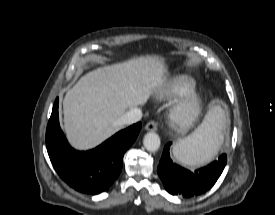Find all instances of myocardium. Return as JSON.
<instances>
[{
    "instance_id": "f54148a6",
    "label": "myocardium",
    "mask_w": 275,
    "mask_h": 215,
    "mask_svg": "<svg viewBox=\"0 0 275 215\" xmlns=\"http://www.w3.org/2000/svg\"><path fill=\"white\" fill-rule=\"evenodd\" d=\"M203 111L202 98L197 93L180 97L169 112L171 125L180 132L192 129L200 120Z\"/></svg>"
}]
</instances>
